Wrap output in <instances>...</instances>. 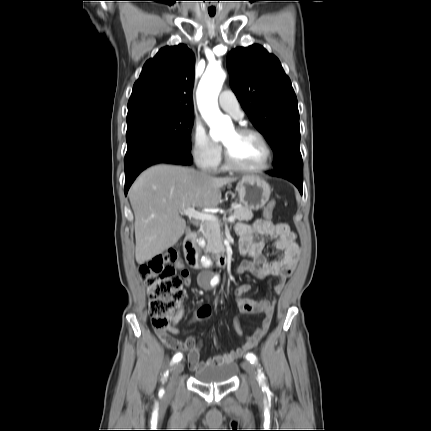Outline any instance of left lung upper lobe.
Returning a JSON list of instances; mask_svg holds the SVG:
<instances>
[{
	"label": "left lung upper lobe",
	"instance_id": "5c2ea615",
	"mask_svg": "<svg viewBox=\"0 0 431 431\" xmlns=\"http://www.w3.org/2000/svg\"><path fill=\"white\" fill-rule=\"evenodd\" d=\"M227 66L242 108L274 151L275 170L303 169L297 98L277 57L254 44L232 50Z\"/></svg>",
	"mask_w": 431,
	"mask_h": 431
}]
</instances>
